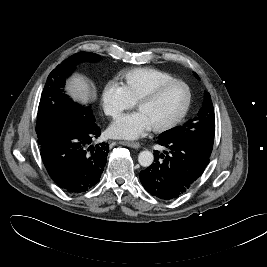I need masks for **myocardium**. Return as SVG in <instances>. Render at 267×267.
I'll return each instance as SVG.
<instances>
[{"label": "myocardium", "instance_id": "myocardium-1", "mask_svg": "<svg viewBox=\"0 0 267 267\" xmlns=\"http://www.w3.org/2000/svg\"><path fill=\"white\" fill-rule=\"evenodd\" d=\"M172 85H181L185 88L186 93H187V100H186L185 106L182 109V111L180 112V114L172 121L167 122V123L162 124V125H159V126L151 127V130L155 133H163V132L170 131V130L176 128L177 126H179L184 121V119L186 118V116L189 113V110H190L191 104H192V91H191L189 85L180 79H172V80H169V81H166V82H163V83L157 85L155 88H153L149 92L142 95L135 102V106L138 109L142 104L154 100L156 97H158L161 94V92L163 90H165L166 88H168Z\"/></svg>", "mask_w": 267, "mask_h": 267}]
</instances>
